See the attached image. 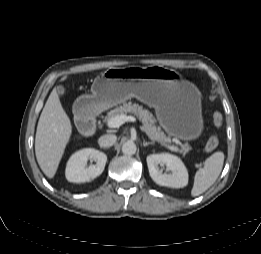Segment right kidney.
<instances>
[{"label": "right kidney", "mask_w": 261, "mask_h": 254, "mask_svg": "<svg viewBox=\"0 0 261 254\" xmlns=\"http://www.w3.org/2000/svg\"><path fill=\"white\" fill-rule=\"evenodd\" d=\"M94 160L95 165L86 168L88 160ZM107 162V155L93 148H86L75 152L69 159L66 166V179L69 182H89L98 177L104 170Z\"/></svg>", "instance_id": "1"}]
</instances>
